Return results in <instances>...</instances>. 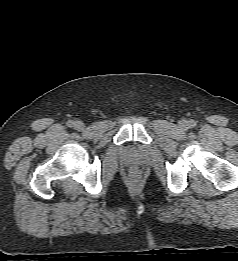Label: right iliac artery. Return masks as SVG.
Masks as SVG:
<instances>
[{
    "label": "right iliac artery",
    "instance_id": "right-iliac-artery-1",
    "mask_svg": "<svg viewBox=\"0 0 238 261\" xmlns=\"http://www.w3.org/2000/svg\"><path fill=\"white\" fill-rule=\"evenodd\" d=\"M66 124H67L68 127H73L74 122L72 120H69V121H67Z\"/></svg>",
    "mask_w": 238,
    "mask_h": 261
}]
</instances>
